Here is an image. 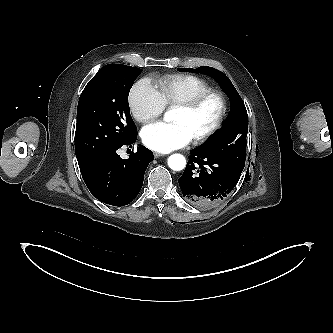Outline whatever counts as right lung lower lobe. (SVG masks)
<instances>
[{
    "mask_svg": "<svg viewBox=\"0 0 333 333\" xmlns=\"http://www.w3.org/2000/svg\"><path fill=\"white\" fill-rule=\"evenodd\" d=\"M136 138L137 133L124 145L131 146ZM120 147L79 165L83 180L92 195L106 204L118 207L129 204L138 195L145 170L154 159L149 149L139 145L136 153L123 160L116 153Z\"/></svg>",
    "mask_w": 333,
    "mask_h": 333,
    "instance_id": "1",
    "label": "right lung lower lobe"
}]
</instances>
